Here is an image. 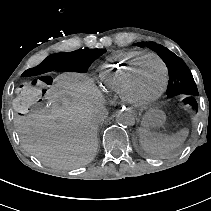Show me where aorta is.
<instances>
[{
    "label": "aorta",
    "mask_w": 211,
    "mask_h": 211,
    "mask_svg": "<svg viewBox=\"0 0 211 211\" xmlns=\"http://www.w3.org/2000/svg\"><path fill=\"white\" fill-rule=\"evenodd\" d=\"M116 122L123 127L133 126L135 124L134 114L130 110H122L117 114Z\"/></svg>",
    "instance_id": "obj_1"
}]
</instances>
